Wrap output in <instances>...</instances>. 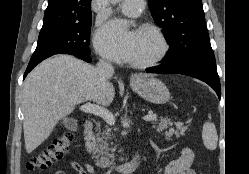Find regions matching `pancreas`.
Segmentation results:
<instances>
[{"label":"pancreas","mask_w":249,"mask_h":174,"mask_svg":"<svg viewBox=\"0 0 249 174\" xmlns=\"http://www.w3.org/2000/svg\"><path fill=\"white\" fill-rule=\"evenodd\" d=\"M171 125V120L166 117H160L159 119H155L153 122V127L158 132L167 130L169 128L168 131H165L164 133L167 139H170L174 134L177 138L180 137V135H184L188 128L181 122L175 123L176 129L170 127ZM110 131V129L98 131L93 140L91 151L95 155V158L98 161L97 164L100 167H108L112 165L115 160L113 152L116 150V147H112L113 143L111 140L113 135H111Z\"/></svg>","instance_id":"1"}]
</instances>
